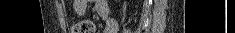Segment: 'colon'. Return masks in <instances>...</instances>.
Listing matches in <instances>:
<instances>
[{"instance_id":"colon-1","label":"colon","mask_w":235,"mask_h":33,"mask_svg":"<svg viewBox=\"0 0 235 33\" xmlns=\"http://www.w3.org/2000/svg\"><path fill=\"white\" fill-rule=\"evenodd\" d=\"M72 33H94V26L88 20H80L73 24Z\"/></svg>"}]
</instances>
